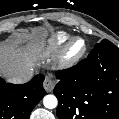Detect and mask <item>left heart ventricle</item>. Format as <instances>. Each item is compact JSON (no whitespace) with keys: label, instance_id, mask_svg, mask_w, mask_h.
I'll return each mask as SVG.
<instances>
[{"label":"left heart ventricle","instance_id":"left-heart-ventricle-1","mask_svg":"<svg viewBox=\"0 0 119 119\" xmlns=\"http://www.w3.org/2000/svg\"><path fill=\"white\" fill-rule=\"evenodd\" d=\"M82 48V42L81 41H77L73 44L72 48H71V52L75 53L78 52L80 49Z\"/></svg>","mask_w":119,"mask_h":119}]
</instances>
